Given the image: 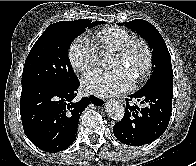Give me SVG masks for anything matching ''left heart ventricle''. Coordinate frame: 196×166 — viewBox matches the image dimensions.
<instances>
[{"instance_id": "left-heart-ventricle-1", "label": "left heart ventricle", "mask_w": 196, "mask_h": 166, "mask_svg": "<svg viewBox=\"0 0 196 166\" xmlns=\"http://www.w3.org/2000/svg\"><path fill=\"white\" fill-rule=\"evenodd\" d=\"M145 64V53L142 48L135 49L128 59H122L118 55L114 56L112 67L125 69L133 78L136 77Z\"/></svg>"}]
</instances>
